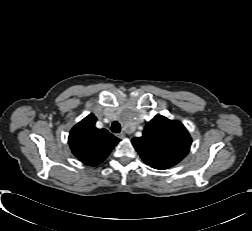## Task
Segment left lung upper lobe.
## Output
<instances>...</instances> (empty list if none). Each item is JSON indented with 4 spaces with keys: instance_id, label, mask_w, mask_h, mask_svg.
Here are the masks:
<instances>
[{
    "instance_id": "obj_1",
    "label": "left lung upper lobe",
    "mask_w": 252,
    "mask_h": 231,
    "mask_svg": "<svg viewBox=\"0 0 252 231\" xmlns=\"http://www.w3.org/2000/svg\"><path fill=\"white\" fill-rule=\"evenodd\" d=\"M191 142L180 121L161 115L146 124L142 137L132 139L143 161L155 169H167L179 163L188 154Z\"/></svg>"
}]
</instances>
